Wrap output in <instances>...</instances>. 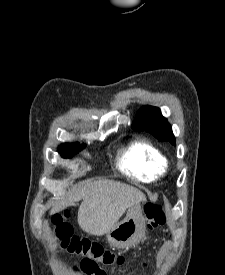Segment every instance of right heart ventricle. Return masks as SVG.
<instances>
[{
    "label": "right heart ventricle",
    "mask_w": 225,
    "mask_h": 275,
    "mask_svg": "<svg viewBox=\"0 0 225 275\" xmlns=\"http://www.w3.org/2000/svg\"><path fill=\"white\" fill-rule=\"evenodd\" d=\"M118 165L125 174L148 183L162 177L167 172L169 163L151 142L136 139L120 151Z\"/></svg>",
    "instance_id": "e07e8e85"
}]
</instances>
